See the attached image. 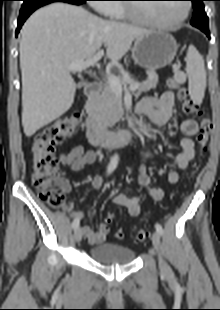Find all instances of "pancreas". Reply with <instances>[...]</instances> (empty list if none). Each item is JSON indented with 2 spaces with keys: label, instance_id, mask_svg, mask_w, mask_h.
I'll use <instances>...</instances> for the list:
<instances>
[{
  "label": "pancreas",
  "instance_id": "pancreas-1",
  "mask_svg": "<svg viewBox=\"0 0 220 310\" xmlns=\"http://www.w3.org/2000/svg\"><path fill=\"white\" fill-rule=\"evenodd\" d=\"M147 74V80L139 84V92H147L155 88L158 83V75L155 71L150 70ZM88 113L92 119L102 125H114L123 115L121 95L115 93L109 85L105 86L101 95L89 102Z\"/></svg>",
  "mask_w": 220,
  "mask_h": 310
}]
</instances>
